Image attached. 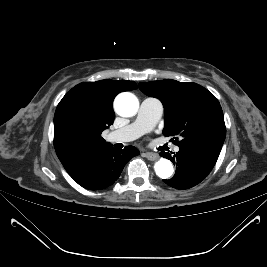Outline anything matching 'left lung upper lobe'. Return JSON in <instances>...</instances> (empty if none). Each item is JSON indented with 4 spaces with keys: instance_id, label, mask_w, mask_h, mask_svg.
I'll list each match as a JSON object with an SVG mask.
<instances>
[{
    "instance_id": "obj_1",
    "label": "left lung upper lobe",
    "mask_w": 267,
    "mask_h": 267,
    "mask_svg": "<svg viewBox=\"0 0 267 267\" xmlns=\"http://www.w3.org/2000/svg\"><path fill=\"white\" fill-rule=\"evenodd\" d=\"M139 89L162 102L163 134L177 136L172 141L179 148H205L220 153L226 136L223 112L207 89L171 79L141 82Z\"/></svg>"
}]
</instances>
